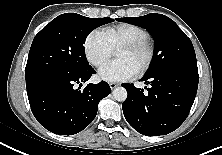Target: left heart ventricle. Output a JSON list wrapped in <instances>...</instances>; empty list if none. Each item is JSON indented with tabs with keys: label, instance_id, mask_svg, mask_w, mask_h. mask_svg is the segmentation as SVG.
<instances>
[{
	"label": "left heart ventricle",
	"instance_id": "obj_1",
	"mask_svg": "<svg viewBox=\"0 0 222 155\" xmlns=\"http://www.w3.org/2000/svg\"><path fill=\"white\" fill-rule=\"evenodd\" d=\"M147 58L146 50H139L136 52H129L119 50L116 52V59L127 62L136 72L144 64Z\"/></svg>",
	"mask_w": 222,
	"mask_h": 155
}]
</instances>
